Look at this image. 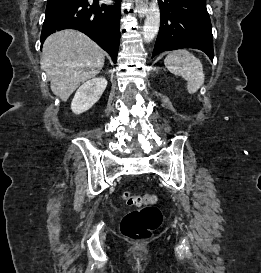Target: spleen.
<instances>
[{
    "label": "spleen",
    "mask_w": 261,
    "mask_h": 273,
    "mask_svg": "<svg viewBox=\"0 0 261 273\" xmlns=\"http://www.w3.org/2000/svg\"><path fill=\"white\" fill-rule=\"evenodd\" d=\"M164 64L172 74L182 76L187 81L190 94L196 93L204 83L202 63L188 50L172 51L165 58Z\"/></svg>",
    "instance_id": "1"
}]
</instances>
